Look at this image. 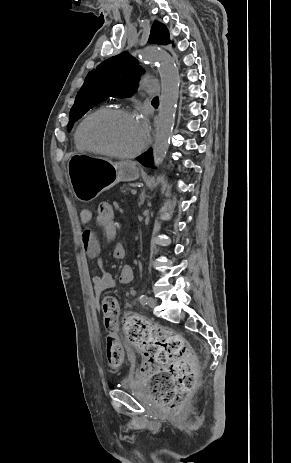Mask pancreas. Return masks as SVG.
I'll return each mask as SVG.
<instances>
[{
    "mask_svg": "<svg viewBox=\"0 0 291 463\" xmlns=\"http://www.w3.org/2000/svg\"><path fill=\"white\" fill-rule=\"evenodd\" d=\"M130 190H131V188H130L129 186L125 185V184L122 185V186L119 188V192H120L121 194H123L124 196H127V195L129 194Z\"/></svg>",
    "mask_w": 291,
    "mask_h": 463,
    "instance_id": "obj_1",
    "label": "pancreas"
}]
</instances>
